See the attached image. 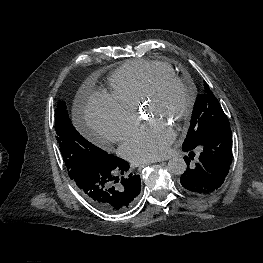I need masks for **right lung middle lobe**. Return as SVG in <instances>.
Segmentation results:
<instances>
[{
	"mask_svg": "<svg viewBox=\"0 0 263 263\" xmlns=\"http://www.w3.org/2000/svg\"><path fill=\"white\" fill-rule=\"evenodd\" d=\"M55 131L59 149L71 177L82 167L105 162L109 154L83 138L71 123L66 103L55 110Z\"/></svg>",
	"mask_w": 263,
	"mask_h": 263,
	"instance_id": "right-lung-middle-lobe-1",
	"label": "right lung middle lobe"
}]
</instances>
